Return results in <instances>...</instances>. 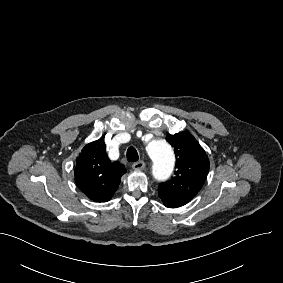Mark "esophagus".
I'll use <instances>...</instances> for the list:
<instances>
[{"label":"esophagus","instance_id":"34e87169","mask_svg":"<svg viewBox=\"0 0 283 283\" xmlns=\"http://www.w3.org/2000/svg\"><path fill=\"white\" fill-rule=\"evenodd\" d=\"M146 164L143 160L137 161L133 163L132 169L133 170H143L145 168Z\"/></svg>","mask_w":283,"mask_h":283}]
</instances>
